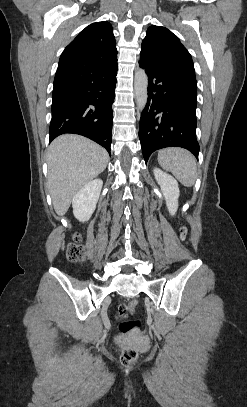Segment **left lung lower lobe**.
<instances>
[{"label": "left lung lower lobe", "mask_w": 247, "mask_h": 407, "mask_svg": "<svg viewBox=\"0 0 247 407\" xmlns=\"http://www.w3.org/2000/svg\"><path fill=\"white\" fill-rule=\"evenodd\" d=\"M139 65L148 74V100L139 126L145 162L155 150L172 146L198 158L195 76L158 68L141 57Z\"/></svg>", "instance_id": "obj_1"}]
</instances>
